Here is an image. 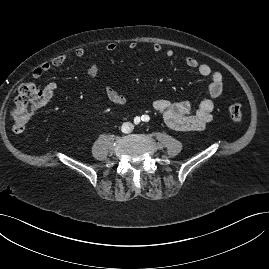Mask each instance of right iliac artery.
Instances as JSON below:
<instances>
[{"label": "right iliac artery", "mask_w": 269, "mask_h": 269, "mask_svg": "<svg viewBox=\"0 0 269 269\" xmlns=\"http://www.w3.org/2000/svg\"><path fill=\"white\" fill-rule=\"evenodd\" d=\"M134 121H135L136 124H138V123L140 122V117H136V118L134 119Z\"/></svg>", "instance_id": "1"}]
</instances>
